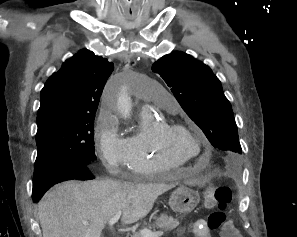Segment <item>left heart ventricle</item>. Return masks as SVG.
I'll return each instance as SVG.
<instances>
[{
	"instance_id": "obj_1",
	"label": "left heart ventricle",
	"mask_w": 297,
	"mask_h": 237,
	"mask_svg": "<svg viewBox=\"0 0 297 237\" xmlns=\"http://www.w3.org/2000/svg\"><path fill=\"white\" fill-rule=\"evenodd\" d=\"M171 147L184 156H195L199 151L197 142L183 132H175L169 136Z\"/></svg>"
}]
</instances>
